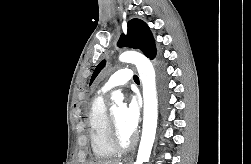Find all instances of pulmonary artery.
<instances>
[{
	"label": "pulmonary artery",
	"mask_w": 251,
	"mask_h": 164,
	"mask_svg": "<svg viewBox=\"0 0 251 164\" xmlns=\"http://www.w3.org/2000/svg\"><path fill=\"white\" fill-rule=\"evenodd\" d=\"M133 79V72L131 69L124 68L116 71L102 87V92L106 93L116 87L123 86Z\"/></svg>",
	"instance_id": "pulmonary-artery-1"
}]
</instances>
